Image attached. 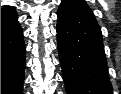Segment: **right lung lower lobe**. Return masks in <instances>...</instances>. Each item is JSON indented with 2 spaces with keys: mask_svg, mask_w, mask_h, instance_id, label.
I'll return each instance as SVG.
<instances>
[{
  "mask_svg": "<svg viewBox=\"0 0 121 94\" xmlns=\"http://www.w3.org/2000/svg\"><path fill=\"white\" fill-rule=\"evenodd\" d=\"M26 47L12 7L1 9V94H22Z\"/></svg>",
  "mask_w": 121,
  "mask_h": 94,
  "instance_id": "obj_1",
  "label": "right lung lower lobe"
}]
</instances>
